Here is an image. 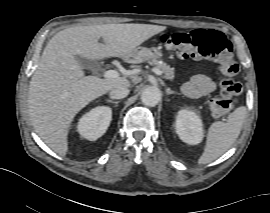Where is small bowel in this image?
<instances>
[{
    "instance_id": "small-bowel-1",
    "label": "small bowel",
    "mask_w": 270,
    "mask_h": 213,
    "mask_svg": "<svg viewBox=\"0 0 270 213\" xmlns=\"http://www.w3.org/2000/svg\"><path fill=\"white\" fill-rule=\"evenodd\" d=\"M215 89V84L205 75H195L191 77L182 86L183 92L190 98H199L205 96Z\"/></svg>"
}]
</instances>
